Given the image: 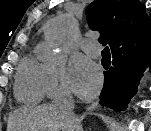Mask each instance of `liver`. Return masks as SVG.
I'll return each mask as SVG.
<instances>
[{
  "mask_svg": "<svg viewBox=\"0 0 151 131\" xmlns=\"http://www.w3.org/2000/svg\"><path fill=\"white\" fill-rule=\"evenodd\" d=\"M7 131L83 130L73 112L62 111L54 104H43L16 111L9 118Z\"/></svg>",
  "mask_w": 151,
  "mask_h": 131,
  "instance_id": "liver-1",
  "label": "liver"
}]
</instances>
